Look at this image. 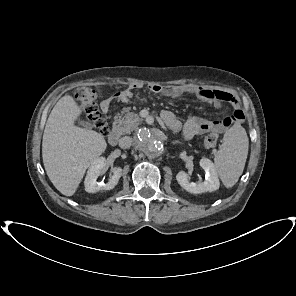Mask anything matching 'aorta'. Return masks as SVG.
I'll return each instance as SVG.
<instances>
[{"label": "aorta", "mask_w": 296, "mask_h": 296, "mask_svg": "<svg viewBox=\"0 0 296 296\" xmlns=\"http://www.w3.org/2000/svg\"><path fill=\"white\" fill-rule=\"evenodd\" d=\"M135 147L146 156L157 157L163 151L160 140L147 128L140 129L135 135Z\"/></svg>", "instance_id": "762f6f07"}]
</instances>
